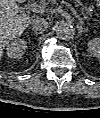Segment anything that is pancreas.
Masks as SVG:
<instances>
[{
    "mask_svg": "<svg viewBox=\"0 0 100 118\" xmlns=\"http://www.w3.org/2000/svg\"><path fill=\"white\" fill-rule=\"evenodd\" d=\"M52 4H55L57 1H59V0H49ZM75 1H77V0H75Z\"/></svg>",
    "mask_w": 100,
    "mask_h": 118,
    "instance_id": "cf45deb5",
    "label": "pancreas"
}]
</instances>
